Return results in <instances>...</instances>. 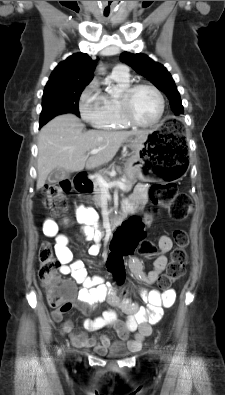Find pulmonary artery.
<instances>
[{
  "label": "pulmonary artery",
  "instance_id": "pulmonary-artery-1",
  "mask_svg": "<svg viewBox=\"0 0 225 395\" xmlns=\"http://www.w3.org/2000/svg\"><path fill=\"white\" fill-rule=\"evenodd\" d=\"M112 75L121 78H129V68L126 65L118 64L113 68Z\"/></svg>",
  "mask_w": 225,
  "mask_h": 395
}]
</instances>
